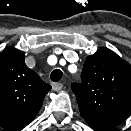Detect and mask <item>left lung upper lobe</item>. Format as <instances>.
<instances>
[{
  "instance_id": "1",
  "label": "left lung upper lobe",
  "mask_w": 131,
  "mask_h": 131,
  "mask_svg": "<svg viewBox=\"0 0 131 131\" xmlns=\"http://www.w3.org/2000/svg\"><path fill=\"white\" fill-rule=\"evenodd\" d=\"M73 83L80 114L96 131H109L131 114V66L108 48L87 57Z\"/></svg>"
}]
</instances>
